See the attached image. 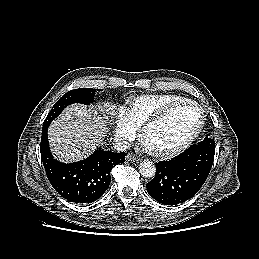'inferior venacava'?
Listing matches in <instances>:
<instances>
[{"label":"inferior vena cava","mask_w":259,"mask_h":259,"mask_svg":"<svg viewBox=\"0 0 259 259\" xmlns=\"http://www.w3.org/2000/svg\"><path fill=\"white\" fill-rule=\"evenodd\" d=\"M113 146L117 151L123 152L130 148V143L125 138H115Z\"/></svg>","instance_id":"602c4592"}]
</instances>
